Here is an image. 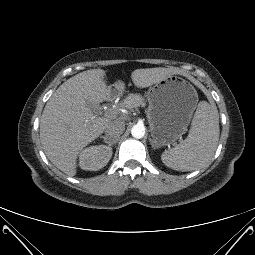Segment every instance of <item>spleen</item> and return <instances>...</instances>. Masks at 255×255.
Listing matches in <instances>:
<instances>
[{
  "mask_svg": "<svg viewBox=\"0 0 255 255\" xmlns=\"http://www.w3.org/2000/svg\"><path fill=\"white\" fill-rule=\"evenodd\" d=\"M219 114L215 104L201 101L195 111L187 138L161 155L162 162L177 171L205 167L219 141Z\"/></svg>",
  "mask_w": 255,
  "mask_h": 255,
  "instance_id": "3e777b00",
  "label": "spleen"
}]
</instances>
